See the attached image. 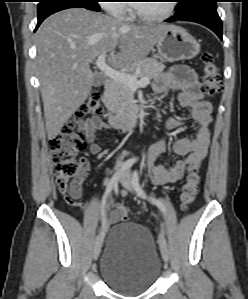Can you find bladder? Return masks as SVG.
<instances>
[{"instance_id":"obj_1","label":"bladder","mask_w":248,"mask_h":299,"mask_svg":"<svg viewBox=\"0 0 248 299\" xmlns=\"http://www.w3.org/2000/svg\"><path fill=\"white\" fill-rule=\"evenodd\" d=\"M100 276L125 295L150 289L161 273V261L152 234L143 226L122 222L110 230L100 259Z\"/></svg>"}]
</instances>
